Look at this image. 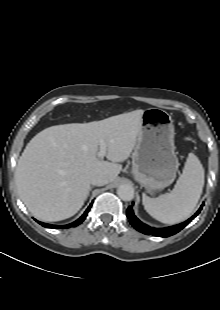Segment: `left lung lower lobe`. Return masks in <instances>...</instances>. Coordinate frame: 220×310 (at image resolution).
<instances>
[{
	"mask_svg": "<svg viewBox=\"0 0 220 310\" xmlns=\"http://www.w3.org/2000/svg\"><path fill=\"white\" fill-rule=\"evenodd\" d=\"M204 203L201 205V207L199 208V210L188 220H186L185 222L175 225V226H171V227H167V228H152L144 223H142L133 213V209L132 207H128L127 209V217L131 223V225L138 231H140L141 233H144L146 235H153V236H159V237H169L172 236L176 233H178L180 230H182L186 225H188L201 211L202 207H203Z\"/></svg>",
	"mask_w": 220,
	"mask_h": 310,
	"instance_id": "left-lung-lower-lobe-1",
	"label": "left lung lower lobe"
}]
</instances>
